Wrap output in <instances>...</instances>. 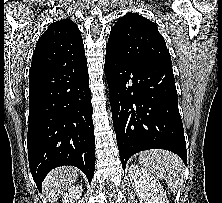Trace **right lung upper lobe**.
Instances as JSON below:
<instances>
[{"instance_id":"right-lung-upper-lobe-1","label":"right lung upper lobe","mask_w":222,"mask_h":203,"mask_svg":"<svg viewBox=\"0 0 222 203\" xmlns=\"http://www.w3.org/2000/svg\"><path fill=\"white\" fill-rule=\"evenodd\" d=\"M85 64L87 61L81 33L72 20L63 19L50 24L38 39L29 76Z\"/></svg>"}]
</instances>
